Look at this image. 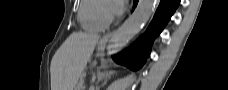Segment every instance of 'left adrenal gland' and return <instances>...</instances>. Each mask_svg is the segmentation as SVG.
I'll return each instance as SVG.
<instances>
[{
  "label": "left adrenal gland",
  "mask_w": 228,
  "mask_h": 90,
  "mask_svg": "<svg viewBox=\"0 0 228 90\" xmlns=\"http://www.w3.org/2000/svg\"><path fill=\"white\" fill-rule=\"evenodd\" d=\"M114 72L110 71V72H98L97 73V83H99L100 81H102L105 77H109L111 74H113Z\"/></svg>",
  "instance_id": "1"
}]
</instances>
